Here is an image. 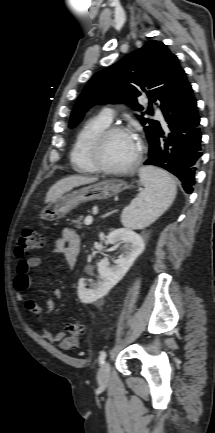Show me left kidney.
Listing matches in <instances>:
<instances>
[{"instance_id": "5707ae66", "label": "left kidney", "mask_w": 215, "mask_h": 433, "mask_svg": "<svg viewBox=\"0 0 215 433\" xmlns=\"http://www.w3.org/2000/svg\"><path fill=\"white\" fill-rule=\"evenodd\" d=\"M109 244L122 243L125 252L110 266L107 258L101 260L98 272L101 281L93 288H86L84 278L78 281V297L82 303H92L106 295L127 273L136 258L144 251L145 244L142 236L128 228L115 229L107 236Z\"/></svg>"}]
</instances>
